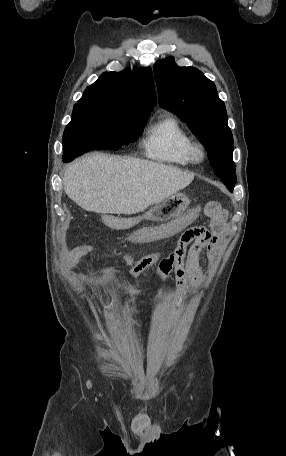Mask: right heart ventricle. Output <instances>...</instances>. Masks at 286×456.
I'll return each mask as SVG.
<instances>
[{"label": "right heart ventricle", "instance_id": "right-heart-ventricle-1", "mask_svg": "<svg viewBox=\"0 0 286 456\" xmlns=\"http://www.w3.org/2000/svg\"><path fill=\"white\" fill-rule=\"evenodd\" d=\"M192 138L179 120L172 115H165L148 130L143 139L146 156L152 160L188 165V147Z\"/></svg>", "mask_w": 286, "mask_h": 456}]
</instances>
